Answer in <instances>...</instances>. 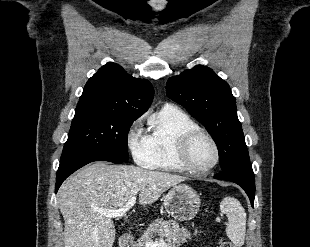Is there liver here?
<instances>
[{"instance_id": "liver-1", "label": "liver", "mask_w": 310, "mask_h": 247, "mask_svg": "<svg viewBox=\"0 0 310 247\" xmlns=\"http://www.w3.org/2000/svg\"><path fill=\"white\" fill-rule=\"evenodd\" d=\"M185 180L183 176L131 165L96 162L84 167L65 180L58 192L65 221V247H112L114 222L98 210H117L138 192L139 204L151 205Z\"/></svg>"}]
</instances>
